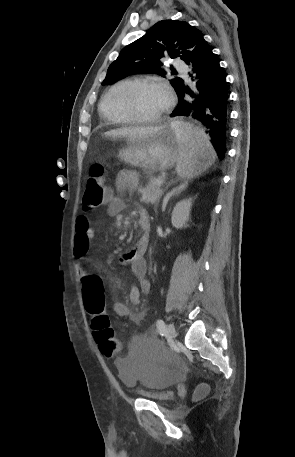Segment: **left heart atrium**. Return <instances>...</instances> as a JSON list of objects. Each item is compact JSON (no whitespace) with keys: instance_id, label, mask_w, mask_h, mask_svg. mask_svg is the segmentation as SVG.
Returning <instances> with one entry per match:
<instances>
[{"instance_id":"left-heart-atrium-1","label":"left heart atrium","mask_w":295,"mask_h":457,"mask_svg":"<svg viewBox=\"0 0 295 457\" xmlns=\"http://www.w3.org/2000/svg\"><path fill=\"white\" fill-rule=\"evenodd\" d=\"M162 90H163L166 101L169 102V100L171 98L169 91L165 87H162Z\"/></svg>"}]
</instances>
